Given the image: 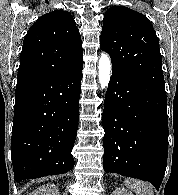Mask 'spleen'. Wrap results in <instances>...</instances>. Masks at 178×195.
<instances>
[{
  "label": "spleen",
  "instance_id": "obj_1",
  "mask_svg": "<svg viewBox=\"0 0 178 195\" xmlns=\"http://www.w3.org/2000/svg\"><path fill=\"white\" fill-rule=\"evenodd\" d=\"M124 184L127 188L135 192L136 195H154L151 184L134 179H126Z\"/></svg>",
  "mask_w": 178,
  "mask_h": 195
}]
</instances>
